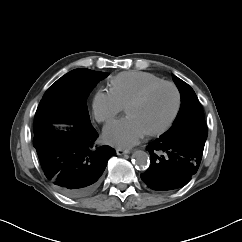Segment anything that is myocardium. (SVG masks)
<instances>
[{"mask_svg": "<svg viewBox=\"0 0 242 242\" xmlns=\"http://www.w3.org/2000/svg\"><path fill=\"white\" fill-rule=\"evenodd\" d=\"M162 85H168L173 88L176 95V105L170 119L164 125L145 133L149 137L157 136L166 132L173 126L174 122L176 121L178 114L180 112L181 103H182L181 93L177 85L167 80H161L159 82L153 83L147 86L145 89H143L139 94H137L134 98H132L126 105V111L128 112L130 107L144 101L154 89Z\"/></svg>", "mask_w": 242, "mask_h": 242, "instance_id": "myocardium-1", "label": "myocardium"}]
</instances>
